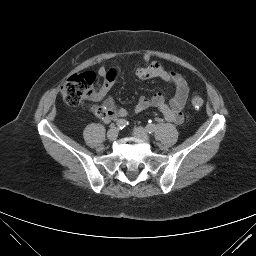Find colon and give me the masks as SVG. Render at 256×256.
Returning a JSON list of instances; mask_svg holds the SVG:
<instances>
[{"label": "colon", "mask_w": 256, "mask_h": 256, "mask_svg": "<svg viewBox=\"0 0 256 256\" xmlns=\"http://www.w3.org/2000/svg\"><path fill=\"white\" fill-rule=\"evenodd\" d=\"M96 75L93 72H84L70 76L61 86V95L64 102L70 106L80 104L83 100L90 98L94 94ZM204 105V100L199 95L192 98V106L200 109ZM90 111L97 116H104L105 111L101 106H91Z\"/></svg>", "instance_id": "5ec220e1"}]
</instances>
